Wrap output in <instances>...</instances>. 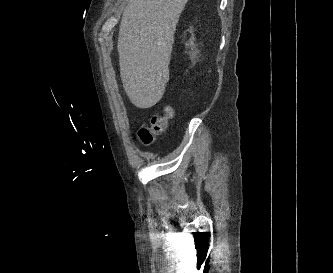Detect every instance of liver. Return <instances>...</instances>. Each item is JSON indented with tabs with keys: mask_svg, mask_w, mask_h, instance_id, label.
Here are the masks:
<instances>
[{
	"mask_svg": "<svg viewBox=\"0 0 333 273\" xmlns=\"http://www.w3.org/2000/svg\"><path fill=\"white\" fill-rule=\"evenodd\" d=\"M188 0H130L120 22L118 53L130 101L146 109L158 103L169 80L174 33Z\"/></svg>",
	"mask_w": 333,
	"mask_h": 273,
	"instance_id": "6515ba94",
	"label": "liver"
}]
</instances>
